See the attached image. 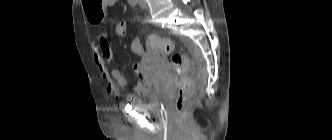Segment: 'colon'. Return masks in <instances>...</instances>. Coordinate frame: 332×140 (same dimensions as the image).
<instances>
[{
	"mask_svg": "<svg viewBox=\"0 0 332 140\" xmlns=\"http://www.w3.org/2000/svg\"><path fill=\"white\" fill-rule=\"evenodd\" d=\"M105 0H83V6L87 17L95 22L101 21L104 14ZM128 31L126 21L113 23L105 32L113 37L125 36ZM145 47L149 51H160L170 55L171 64L178 75L176 86L175 112L179 124H185L188 115L195 104L193 95V79L191 76V64L188 57L174 51V43L167 38L151 35L147 38Z\"/></svg>",
	"mask_w": 332,
	"mask_h": 140,
	"instance_id": "1",
	"label": "colon"
}]
</instances>
